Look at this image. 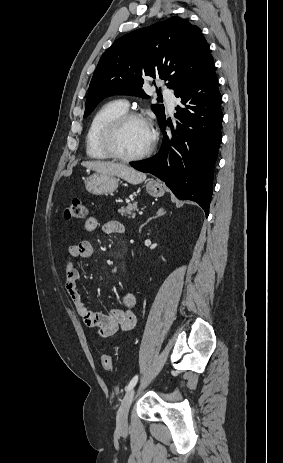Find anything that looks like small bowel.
Masks as SVG:
<instances>
[{
	"mask_svg": "<svg viewBox=\"0 0 283 463\" xmlns=\"http://www.w3.org/2000/svg\"><path fill=\"white\" fill-rule=\"evenodd\" d=\"M98 228V220L94 216L88 217L84 222V229L93 232ZM104 234H124L125 228L118 221H107L102 225ZM94 253V246L90 241H82L69 246L65 262V289L70 297L79 317L83 323L98 331L102 337H110L118 332H129L136 325L133 308L136 305V296L133 292H125L122 296V308L111 309L108 312L90 309L87 301L81 296L77 282L79 271L73 265L75 259H87Z\"/></svg>",
	"mask_w": 283,
	"mask_h": 463,
	"instance_id": "small-bowel-1",
	"label": "small bowel"
}]
</instances>
